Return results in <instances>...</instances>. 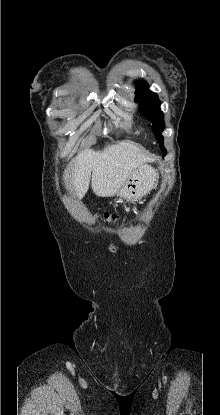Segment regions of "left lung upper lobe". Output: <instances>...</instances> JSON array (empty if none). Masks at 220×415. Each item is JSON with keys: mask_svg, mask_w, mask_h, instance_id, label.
<instances>
[{"mask_svg": "<svg viewBox=\"0 0 220 415\" xmlns=\"http://www.w3.org/2000/svg\"><path fill=\"white\" fill-rule=\"evenodd\" d=\"M135 102H138L140 105V113L152 122L153 133L160 143L163 156H165L166 149L163 146L164 139L161 135L165 127L164 114L160 110V100L157 94L148 90V83L142 82L137 85Z\"/></svg>", "mask_w": 220, "mask_h": 415, "instance_id": "obj_1", "label": "left lung upper lobe"}]
</instances>
